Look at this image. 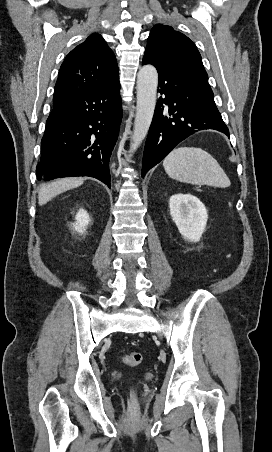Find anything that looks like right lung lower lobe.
<instances>
[{
  "label": "right lung lower lobe",
  "instance_id": "obj_1",
  "mask_svg": "<svg viewBox=\"0 0 272 452\" xmlns=\"http://www.w3.org/2000/svg\"><path fill=\"white\" fill-rule=\"evenodd\" d=\"M121 118L119 79L53 108L41 141L37 179L90 176L110 188L109 159Z\"/></svg>",
  "mask_w": 272,
  "mask_h": 452
}]
</instances>
